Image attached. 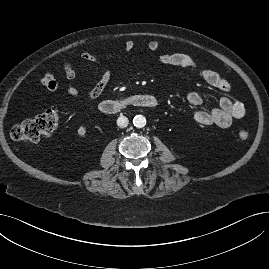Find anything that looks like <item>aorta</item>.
<instances>
[{"label": "aorta", "instance_id": "762f6f07", "mask_svg": "<svg viewBox=\"0 0 269 269\" xmlns=\"http://www.w3.org/2000/svg\"><path fill=\"white\" fill-rule=\"evenodd\" d=\"M133 124L136 128H143L146 125V118L143 115H136Z\"/></svg>", "mask_w": 269, "mask_h": 269}]
</instances>
